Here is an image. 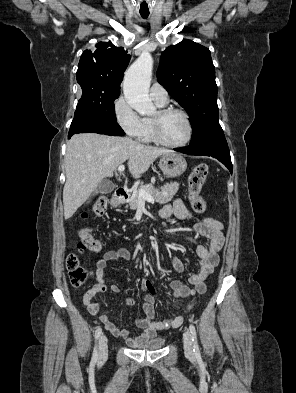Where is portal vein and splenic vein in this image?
I'll return each instance as SVG.
<instances>
[{"label":"portal vein and splenic vein","instance_id":"18ae733b","mask_svg":"<svg viewBox=\"0 0 296 393\" xmlns=\"http://www.w3.org/2000/svg\"><path fill=\"white\" fill-rule=\"evenodd\" d=\"M124 169H125V166L121 164L118 167V172L122 173L124 171ZM139 197H140V199L147 200L149 202L154 201V198L150 194H148L145 190H140Z\"/></svg>","mask_w":296,"mask_h":393}]
</instances>
